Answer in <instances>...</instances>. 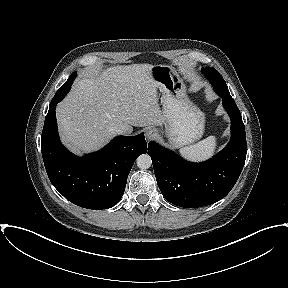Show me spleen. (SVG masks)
Listing matches in <instances>:
<instances>
[{"label": "spleen", "instance_id": "1", "mask_svg": "<svg viewBox=\"0 0 288 288\" xmlns=\"http://www.w3.org/2000/svg\"><path fill=\"white\" fill-rule=\"evenodd\" d=\"M215 148L216 138L214 136H209L197 144L181 148L179 152L186 159L192 161H203L214 154Z\"/></svg>", "mask_w": 288, "mask_h": 288}]
</instances>
